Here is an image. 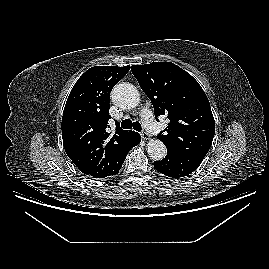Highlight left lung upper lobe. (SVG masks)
I'll list each match as a JSON object with an SVG mask.
<instances>
[{"label":"left lung upper lobe","instance_id":"1","mask_svg":"<svg viewBox=\"0 0 269 269\" xmlns=\"http://www.w3.org/2000/svg\"><path fill=\"white\" fill-rule=\"evenodd\" d=\"M131 71L150 98L156 119L167 115L170 120L164 133L157 135L167 152L205 156L213 141L215 121L199 83L170 62L133 65Z\"/></svg>","mask_w":269,"mask_h":269}]
</instances>
